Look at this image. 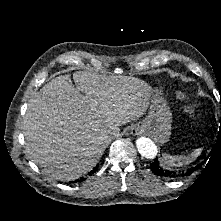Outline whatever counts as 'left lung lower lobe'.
Wrapping results in <instances>:
<instances>
[{"label":"left lung lower lobe","mask_w":221,"mask_h":221,"mask_svg":"<svg viewBox=\"0 0 221 221\" xmlns=\"http://www.w3.org/2000/svg\"><path fill=\"white\" fill-rule=\"evenodd\" d=\"M201 166H202V163L192 169H188L187 171H173V170L163 168V166L160 165L157 158L150 164V168L155 175H158L161 177H169V178H178V177L188 176L192 174L194 170L199 169Z\"/></svg>","instance_id":"1"}]
</instances>
